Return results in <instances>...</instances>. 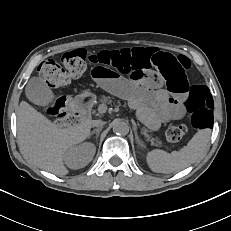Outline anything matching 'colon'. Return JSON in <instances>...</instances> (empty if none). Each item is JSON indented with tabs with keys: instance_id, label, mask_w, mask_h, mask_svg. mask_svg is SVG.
Here are the masks:
<instances>
[{
	"instance_id": "obj_1",
	"label": "colon",
	"mask_w": 231,
	"mask_h": 231,
	"mask_svg": "<svg viewBox=\"0 0 231 231\" xmlns=\"http://www.w3.org/2000/svg\"><path fill=\"white\" fill-rule=\"evenodd\" d=\"M88 64L111 67L135 78H148L155 72L164 79L170 92L183 97V103L191 115L190 125L201 130L213 123V100L203 84H189L190 61L183 55L172 54L155 48H131L89 53L84 49L66 52L61 63L49 59L39 67L41 79L50 87L66 85L72 78L82 75ZM50 115L59 124L76 121L72 103L65 97L58 98L49 107ZM188 131L187 123L169 127L166 139L170 143L182 140Z\"/></svg>"
}]
</instances>
